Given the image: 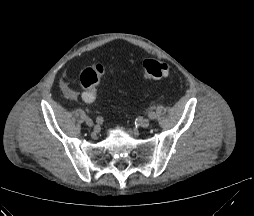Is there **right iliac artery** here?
Listing matches in <instances>:
<instances>
[{
  "mask_svg": "<svg viewBox=\"0 0 254 216\" xmlns=\"http://www.w3.org/2000/svg\"><path fill=\"white\" fill-rule=\"evenodd\" d=\"M96 123H97V124H102V123H103V118H102L101 116H98V117L96 118Z\"/></svg>",
  "mask_w": 254,
  "mask_h": 216,
  "instance_id": "82829eb1",
  "label": "right iliac artery"
}]
</instances>
